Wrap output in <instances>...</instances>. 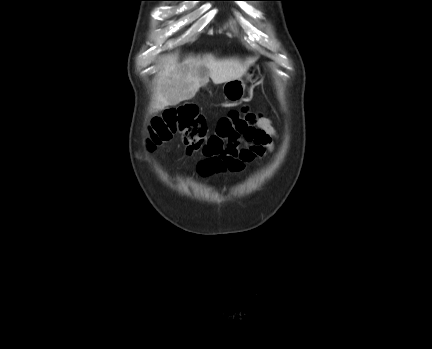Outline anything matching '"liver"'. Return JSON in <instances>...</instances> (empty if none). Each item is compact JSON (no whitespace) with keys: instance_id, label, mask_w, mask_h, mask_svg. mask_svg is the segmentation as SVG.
<instances>
[{"instance_id":"obj_1","label":"liver","mask_w":432,"mask_h":349,"mask_svg":"<svg viewBox=\"0 0 432 349\" xmlns=\"http://www.w3.org/2000/svg\"><path fill=\"white\" fill-rule=\"evenodd\" d=\"M254 61V58L245 61L218 59L212 54L202 57L190 55L182 61L177 55L168 56L159 74L155 108L161 110L192 99L209 82V78L214 84L239 79Z\"/></svg>"}]
</instances>
